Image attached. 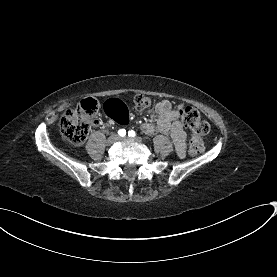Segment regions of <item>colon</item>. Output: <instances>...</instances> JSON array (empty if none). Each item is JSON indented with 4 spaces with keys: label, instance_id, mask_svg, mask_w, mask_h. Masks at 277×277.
<instances>
[{
    "label": "colon",
    "instance_id": "obj_1",
    "mask_svg": "<svg viewBox=\"0 0 277 277\" xmlns=\"http://www.w3.org/2000/svg\"><path fill=\"white\" fill-rule=\"evenodd\" d=\"M96 97L93 94L88 95L80 103V107L68 110L60 120V130L64 138L72 143L79 144L83 142L89 132L92 121L96 118L98 107ZM135 107L143 110L151 106L152 99L147 95H137L133 97ZM178 113L185 127L190 131L191 139L189 141V151L191 154H199L204 151L205 143L203 136L209 132V124L202 117L200 112L193 107L180 105Z\"/></svg>",
    "mask_w": 277,
    "mask_h": 277
}]
</instances>
